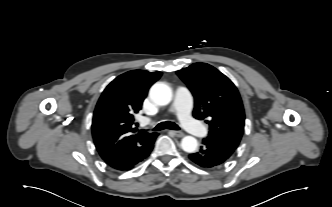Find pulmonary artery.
Masks as SVG:
<instances>
[{"instance_id":"obj_1","label":"pulmonary artery","mask_w":332,"mask_h":207,"mask_svg":"<svg viewBox=\"0 0 332 207\" xmlns=\"http://www.w3.org/2000/svg\"><path fill=\"white\" fill-rule=\"evenodd\" d=\"M193 109V97L189 90L184 86H179L175 92L174 102L171 111L174 112L181 125L196 136H205L208 130L205 126L200 125L196 120L191 117Z\"/></svg>"}]
</instances>
